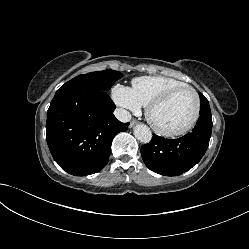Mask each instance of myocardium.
Masks as SVG:
<instances>
[{"instance_id": "obj_1", "label": "myocardium", "mask_w": 249, "mask_h": 249, "mask_svg": "<svg viewBox=\"0 0 249 249\" xmlns=\"http://www.w3.org/2000/svg\"><path fill=\"white\" fill-rule=\"evenodd\" d=\"M182 90H189L193 93L194 97H195V110L193 113L192 118L190 119V121L182 128L178 129V130H164L161 127H159L153 120V111L158 108L159 106L165 104L167 101H169L176 93L182 91ZM200 110H201V100H200V96L198 94V92L190 85H180V86H176L173 87L171 89H169L168 91H166L165 93H163L162 95H160L158 98L154 99L148 106L146 109V117L147 120L149 122V124L151 125V127L159 134L166 136V137H176V136H181L186 134L187 132H189L194 125L196 124L199 115H200Z\"/></svg>"}]
</instances>
